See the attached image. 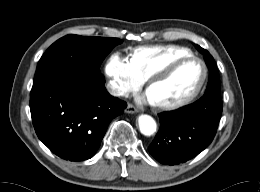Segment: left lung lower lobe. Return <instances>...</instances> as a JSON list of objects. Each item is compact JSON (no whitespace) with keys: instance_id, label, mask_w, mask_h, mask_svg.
Segmentation results:
<instances>
[{"instance_id":"1","label":"left lung lower lobe","mask_w":260,"mask_h":192,"mask_svg":"<svg viewBox=\"0 0 260 192\" xmlns=\"http://www.w3.org/2000/svg\"><path fill=\"white\" fill-rule=\"evenodd\" d=\"M221 113L220 96L207 95L176 111L160 114V129L149 152L165 165L186 162L212 142Z\"/></svg>"}]
</instances>
